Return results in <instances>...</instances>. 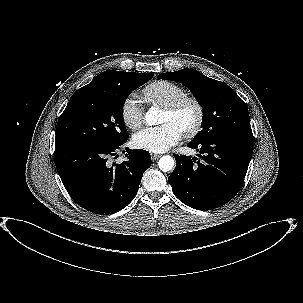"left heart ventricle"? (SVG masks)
Here are the masks:
<instances>
[{
    "label": "left heart ventricle",
    "instance_id": "obj_1",
    "mask_svg": "<svg viewBox=\"0 0 303 303\" xmlns=\"http://www.w3.org/2000/svg\"><path fill=\"white\" fill-rule=\"evenodd\" d=\"M194 120L195 109L192 105L187 104L175 114L163 110L159 123H172L182 132L184 129L189 128L194 123Z\"/></svg>",
    "mask_w": 303,
    "mask_h": 303
}]
</instances>
